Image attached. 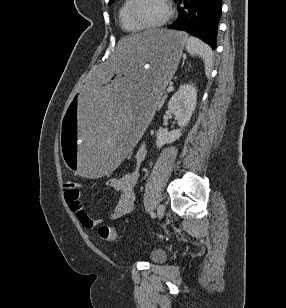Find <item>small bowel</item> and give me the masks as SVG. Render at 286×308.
<instances>
[{"label": "small bowel", "instance_id": "c3829d8e", "mask_svg": "<svg viewBox=\"0 0 286 308\" xmlns=\"http://www.w3.org/2000/svg\"><path fill=\"white\" fill-rule=\"evenodd\" d=\"M146 155L147 147L140 145L134 154L135 168L119 177L109 179L108 185L121 193L116 206L110 213L109 218L111 220H117L132 211L135 201L134 188L139 177L140 165L145 160ZM64 199L83 228L92 230L101 223V220L94 219L87 213L82 205L79 190H65Z\"/></svg>", "mask_w": 286, "mask_h": 308}]
</instances>
